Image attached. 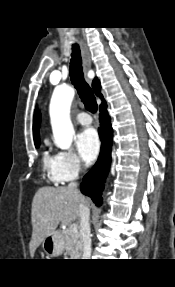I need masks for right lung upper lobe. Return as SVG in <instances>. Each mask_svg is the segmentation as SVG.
Wrapping results in <instances>:
<instances>
[{
	"label": "right lung upper lobe",
	"mask_w": 175,
	"mask_h": 287,
	"mask_svg": "<svg viewBox=\"0 0 175 287\" xmlns=\"http://www.w3.org/2000/svg\"><path fill=\"white\" fill-rule=\"evenodd\" d=\"M92 87L95 91V94L102 100V103L100 106H102L103 104H105L106 102L104 101L103 99V96L102 94L100 93V88H101V85H100V81L95 78L92 82ZM36 114H37V110H35V115H34V125H33V136H34V142L37 143V142H40V139H39V131H38V128H37V124L35 122L36 120Z\"/></svg>",
	"instance_id": "cb5924a9"
}]
</instances>
